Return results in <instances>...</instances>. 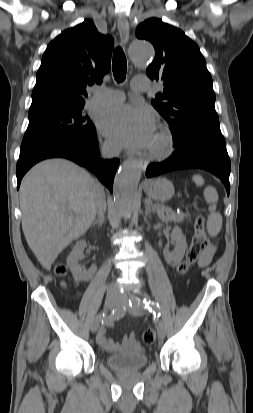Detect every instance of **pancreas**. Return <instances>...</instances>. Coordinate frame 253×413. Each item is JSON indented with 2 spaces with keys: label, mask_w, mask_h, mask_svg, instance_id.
I'll use <instances>...</instances> for the list:
<instances>
[{
  "label": "pancreas",
  "mask_w": 253,
  "mask_h": 413,
  "mask_svg": "<svg viewBox=\"0 0 253 413\" xmlns=\"http://www.w3.org/2000/svg\"><path fill=\"white\" fill-rule=\"evenodd\" d=\"M157 208L162 212L166 213V216L164 217L165 219L176 223L182 222L183 217L181 215L176 214L171 208H168L164 205H158Z\"/></svg>",
  "instance_id": "pancreas-1"
}]
</instances>
